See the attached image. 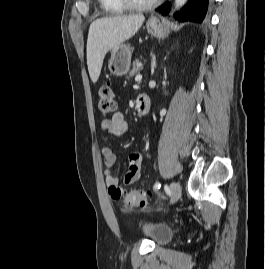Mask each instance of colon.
<instances>
[{
  "label": "colon",
  "instance_id": "obj_1",
  "mask_svg": "<svg viewBox=\"0 0 265 269\" xmlns=\"http://www.w3.org/2000/svg\"><path fill=\"white\" fill-rule=\"evenodd\" d=\"M98 109L99 112L107 116L116 110V100L112 85L104 83L98 90ZM110 195L116 200H122L126 205L144 207L150 199L147 192L134 189L123 192L118 186L109 189Z\"/></svg>",
  "mask_w": 265,
  "mask_h": 269
}]
</instances>
